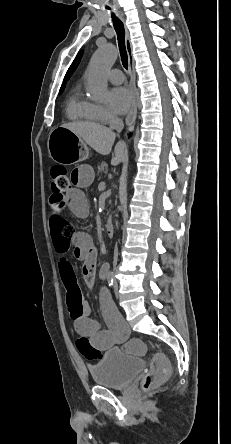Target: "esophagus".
<instances>
[{"label": "esophagus", "mask_w": 231, "mask_h": 444, "mask_svg": "<svg viewBox=\"0 0 231 444\" xmlns=\"http://www.w3.org/2000/svg\"><path fill=\"white\" fill-rule=\"evenodd\" d=\"M126 49H127V53H128V59H129V70H130V76H131L130 87H131L133 101H132L131 110L129 111V113L127 114V116L125 118V124H126L127 129H131L135 123L136 116H137L138 99H137V91H136V86H135V77H134V73H133L134 60H133V54H132V44L129 39V34H128L127 29H126Z\"/></svg>", "instance_id": "34e87169"}]
</instances>
